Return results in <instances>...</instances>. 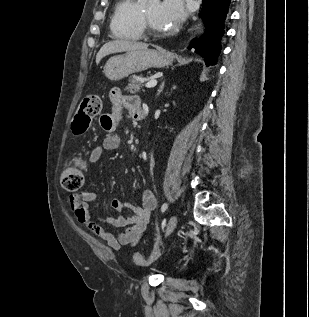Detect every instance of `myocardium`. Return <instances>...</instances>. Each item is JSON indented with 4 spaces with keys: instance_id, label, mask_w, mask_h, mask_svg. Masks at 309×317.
<instances>
[{
    "instance_id": "obj_1",
    "label": "myocardium",
    "mask_w": 309,
    "mask_h": 317,
    "mask_svg": "<svg viewBox=\"0 0 309 317\" xmlns=\"http://www.w3.org/2000/svg\"><path fill=\"white\" fill-rule=\"evenodd\" d=\"M140 22H141V25H142V28L144 30L145 33L151 35V36H154V37H158V36H161L162 33L155 30L151 24L149 23L145 13L143 10H141L140 12Z\"/></svg>"
}]
</instances>
